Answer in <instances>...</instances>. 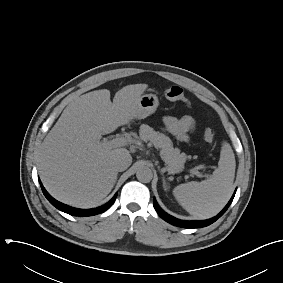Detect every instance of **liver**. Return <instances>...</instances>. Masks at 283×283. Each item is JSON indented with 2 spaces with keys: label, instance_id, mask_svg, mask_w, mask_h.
Wrapping results in <instances>:
<instances>
[{
  "label": "liver",
  "instance_id": "1",
  "mask_svg": "<svg viewBox=\"0 0 283 283\" xmlns=\"http://www.w3.org/2000/svg\"><path fill=\"white\" fill-rule=\"evenodd\" d=\"M147 88L127 85L113 102L109 90H95L68 104L42 142L39 156L41 180L55 199L88 207L111 192L118 174L115 160L130 152L106 147L100 140L134 119V106Z\"/></svg>",
  "mask_w": 283,
  "mask_h": 283
}]
</instances>
